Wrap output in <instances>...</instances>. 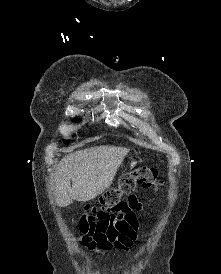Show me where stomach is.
I'll list each match as a JSON object with an SVG mask.
<instances>
[{
  "label": "stomach",
  "instance_id": "obj_1",
  "mask_svg": "<svg viewBox=\"0 0 221 274\" xmlns=\"http://www.w3.org/2000/svg\"><path fill=\"white\" fill-rule=\"evenodd\" d=\"M136 164H137V161L134 160V159H131V160L128 162V167H129V168H133V167L136 166Z\"/></svg>",
  "mask_w": 221,
  "mask_h": 274
}]
</instances>
